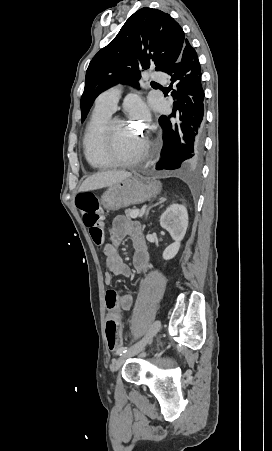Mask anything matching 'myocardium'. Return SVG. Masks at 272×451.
<instances>
[{"mask_svg":"<svg viewBox=\"0 0 272 451\" xmlns=\"http://www.w3.org/2000/svg\"><path fill=\"white\" fill-rule=\"evenodd\" d=\"M118 121H125V119L120 118V117H109L106 120V122L104 123V125L99 133V136H98L99 141L103 143L106 157L109 160V162L111 161L112 154H116V152H117L116 147L114 145L113 125H114V123H116ZM143 149H144L143 145L134 146L129 151L128 154H126L124 156H118L117 162L119 164L130 163V162L136 160L138 157H140Z\"/></svg>","mask_w":272,"mask_h":451,"instance_id":"myocardium-1","label":"myocardium"}]
</instances>
